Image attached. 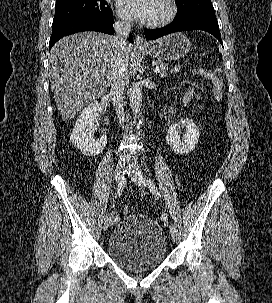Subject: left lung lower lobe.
<instances>
[{"label": "left lung lower lobe", "instance_id": "1", "mask_svg": "<svg viewBox=\"0 0 272 303\" xmlns=\"http://www.w3.org/2000/svg\"><path fill=\"white\" fill-rule=\"evenodd\" d=\"M190 30L206 31L215 36L223 45L216 16L174 20L171 24L160 29H145L144 33L147 40H154L170 33Z\"/></svg>", "mask_w": 272, "mask_h": 303}]
</instances>
